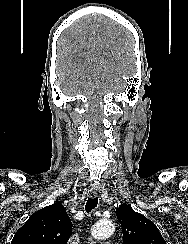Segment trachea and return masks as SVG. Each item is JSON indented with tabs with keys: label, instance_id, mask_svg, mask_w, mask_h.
Returning a JSON list of instances; mask_svg holds the SVG:
<instances>
[{
	"label": "trachea",
	"instance_id": "1",
	"mask_svg": "<svg viewBox=\"0 0 188 244\" xmlns=\"http://www.w3.org/2000/svg\"><path fill=\"white\" fill-rule=\"evenodd\" d=\"M98 204L97 198H88L85 206V210L87 213H90Z\"/></svg>",
	"mask_w": 188,
	"mask_h": 244
}]
</instances>
